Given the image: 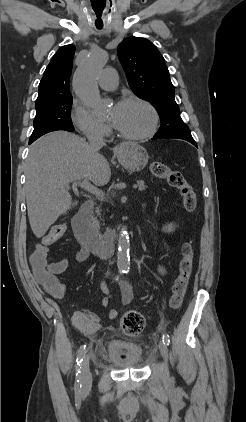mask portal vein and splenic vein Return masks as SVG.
I'll return each instance as SVG.
<instances>
[{
  "mask_svg": "<svg viewBox=\"0 0 246 422\" xmlns=\"http://www.w3.org/2000/svg\"><path fill=\"white\" fill-rule=\"evenodd\" d=\"M74 184L80 186L82 189H84L87 192H90L91 194H94L98 197L102 198L104 196L103 192L100 191L95 186H93L87 179H83L82 181H77ZM137 187H140V186L137 185V184L133 185V188H137Z\"/></svg>",
  "mask_w": 246,
  "mask_h": 422,
  "instance_id": "portal-vein-and-splenic-vein-1",
  "label": "portal vein and splenic vein"
}]
</instances>
